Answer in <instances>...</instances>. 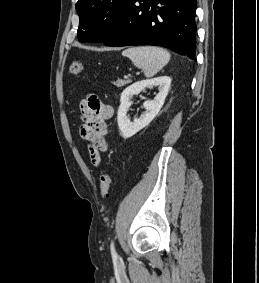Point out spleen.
Listing matches in <instances>:
<instances>
[{"label": "spleen", "instance_id": "3e777b00", "mask_svg": "<svg viewBox=\"0 0 259 283\" xmlns=\"http://www.w3.org/2000/svg\"><path fill=\"white\" fill-rule=\"evenodd\" d=\"M133 65L141 68L147 78L156 75L170 60L167 50L155 46L130 47L122 52Z\"/></svg>", "mask_w": 259, "mask_h": 283}]
</instances>
